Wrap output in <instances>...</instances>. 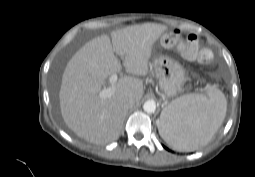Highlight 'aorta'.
Here are the masks:
<instances>
[{
	"label": "aorta",
	"instance_id": "obj_1",
	"mask_svg": "<svg viewBox=\"0 0 255 177\" xmlns=\"http://www.w3.org/2000/svg\"><path fill=\"white\" fill-rule=\"evenodd\" d=\"M143 109L147 113H154L156 110V103L153 100H148L144 103Z\"/></svg>",
	"mask_w": 255,
	"mask_h": 177
}]
</instances>
